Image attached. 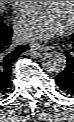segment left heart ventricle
Masks as SVG:
<instances>
[{
    "label": "left heart ventricle",
    "instance_id": "left-heart-ventricle-1",
    "mask_svg": "<svg viewBox=\"0 0 74 122\" xmlns=\"http://www.w3.org/2000/svg\"><path fill=\"white\" fill-rule=\"evenodd\" d=\"M54 7L56 12L65 20L70 21L72 16V1H41Z\"/></svg>",
    "mask_w": 74,
    "mask_h": 122
}]
</instances>
